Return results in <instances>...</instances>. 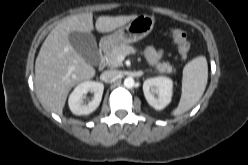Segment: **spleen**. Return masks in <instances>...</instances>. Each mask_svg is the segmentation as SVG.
Returning a JSON list of instances; mask_svg holds the SVG:
<instances>
[{
    "label": "spleen",
    "mask_w": 248,
    "mask_h": 165,
    "mask_svg": "<svg viewBox=\"0 0 248 165\" xmlns=\"http://www.w3.org/2000/svg\"><path fill=\"white\" fill-rule=\"evenodd\" d=\"M208 80V64L204 56H198L188 62L183 69L182 93L173 116H179L193 106L202 97Z\"/></svg>",
    "instance_id": "spleen-1"
}]
</instances>
